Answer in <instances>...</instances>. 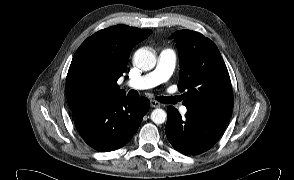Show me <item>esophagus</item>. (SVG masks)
Here are the masks:
<instances>
[{
    "mask_svg": "<svg viewBox=\"0 0 294 180\" xmlns=\"http://www.w3.org/2000/svg\"><path fill=\"white\" fill-rule=\"evenodd\" d=\"M150 105H151L152 108H157V107L161 106V104L159 102L155 101V100H151Z\"/></svg>",
    "mask_w": 294,
    "mask_h": 180,
    "instance_id": "esophagus-1",
    "label": "esophagus"
}]
</instances>
